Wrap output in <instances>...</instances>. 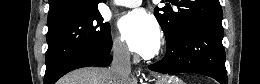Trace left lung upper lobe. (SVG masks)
<instances>
[{
    "label": "left lung upper lobe",
    "instance_id": "5c2ea615",
    "mask_svg": "<svg viewBox=\"0 0 260 84\" xmlns=\"http://www.w3.org/2000/svg\"><path fill=\"white\" fill-rule=\"evenodd\" d=\"M177 11L167 7L156 8L154 15L162 27L167 43L173 42L190 22L203 19L222 20L219 0H172Z\"/></svg>",
    "mask_w": 260,
    "mask_h": 84
}]
</instances>
